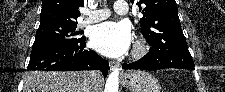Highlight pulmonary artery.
<instances>
[{
    "label": "pulmonary artery",
    "mask_w": 225,
    "mask_h": 92,
    "mask_svg": "<svg viewBox=\"0 0 225 92\" xmlns=\"http://www.w3.org/2000/svg\"><path fill=\"white\" fill-rule=\"evenodd\" d=\"M115 10L119 14L128 13L127 3L124 1H118L115 3ZM88 17L84 19L80 25L82 27L102 21L110 16V12L107 8L100 9L94 12H87Z\"/></svg>",
    "instance_id": "pulmonary-artery-1"
}]
</instances>
